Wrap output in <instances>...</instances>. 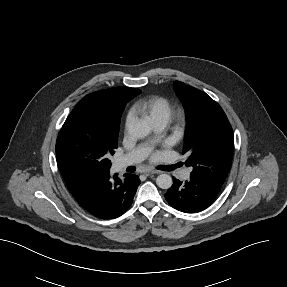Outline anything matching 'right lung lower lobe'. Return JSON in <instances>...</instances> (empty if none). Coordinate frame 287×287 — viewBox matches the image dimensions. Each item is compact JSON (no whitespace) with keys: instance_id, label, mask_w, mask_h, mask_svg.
I'll return each instance as SVG.
<instances>
[{"instance_id":"1","label":"right lung lower lobe","mask_w":287,"mask_h":287,"mask_svg":"<svg viewBox=\"0 0 287 287\" xmlns=\"http://www.w3.org/2000/svg\"><path fill=\"white\" fill-rule=\"evenodd\" d=\"M140 180L133 174L120 179L105 175L98 179H85L67 184L76 201L87 212L102 219H114L131 206Z\"/></svg>"}]
</instances>
